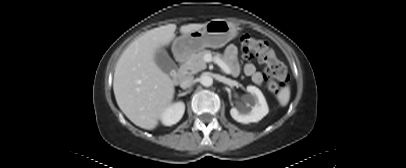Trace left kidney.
Here are the masks:
<instances>
[{"label": "left kidney", "instance_id": "5707ae66", "mask_svg": "<svg viewBox=\"0 0 406 168\" xmlns=\"http://www.w3.org/2000/svg\"><path fill=\"white\" fill-rule=\"evenodd\" d=\"M247 91L251 94L252 105L250 109H240L233 107L230 114L237 122L248 124L250 122H258L269 112L267 102L263 93L255 86H247Z\"/></svg>", "mask_w": 406, "mask_h": 168}]
</instances>
